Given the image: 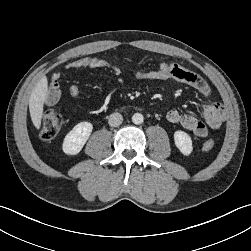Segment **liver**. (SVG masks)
<instances>
[{"label": "liver", "mask_w": 251, "mask_h": 251, "mask_svg": "<svg viewBox=\"0 0 251 251\" xmlns=\"http://www.w3.org/2000/svg\"><path fill=\"white\" fill-rule=\"evenodd\" d=\"M47 91V77L43 76L36 84L29 98L31 120L37 129H40L41 127V119L43 117V107L46 101Z\"/></svg>", "instance_id": "obj_1"}]
</instances>
